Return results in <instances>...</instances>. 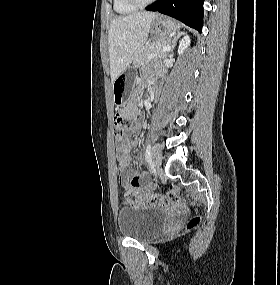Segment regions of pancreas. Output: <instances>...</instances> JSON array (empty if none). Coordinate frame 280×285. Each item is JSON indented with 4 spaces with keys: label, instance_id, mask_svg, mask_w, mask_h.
Masks as SVG:
<instances>
[{
    "label": "pancreas",
    "instance_id": "cf45deb5",
    "mask_svg": "<svg viewBox=\"0 0 280 285\" xmlns=\"http://www.w3.org/2000/svg\"><path fill=\"white\" fill-rule=\"evenodd\" d=\"M168 45H169V39L166 38H159L155 39L152 42H149L147 45H145L142 48L140 53L134 59V66L139 68L140 66L144 65V63L147 60V56L154 53H158V55L155 58L167 57V52H162V48Z\"/></svg>",
    "mask_w": 280,
    "mask_h": 285
}]
</instances>
